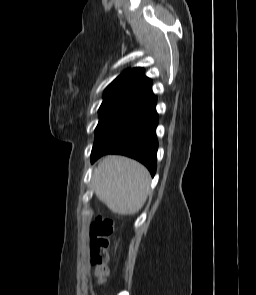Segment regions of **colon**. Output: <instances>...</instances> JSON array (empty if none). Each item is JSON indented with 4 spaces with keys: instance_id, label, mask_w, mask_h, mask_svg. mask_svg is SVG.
Listing matches in <instances>:
<instances>
[{
    "instance_id": "colon-1",
    "label": "colon",
    "mask_w": 256,
    "mask_h": 295,
    "mask_svg": "<svg viewBox=\"0 0 256 295\" xmlns=\"http://www.w3.org/2000/svg\"><path fill=\"white\" fill-rule=\"evenodd\" d=\"M113 233V221L99 217L89 227L90 263L95 268V286L105 287L110 270L108 266L110 237Z\"/></svg>"
}]
</instances>
